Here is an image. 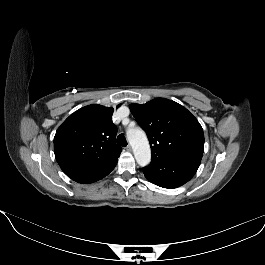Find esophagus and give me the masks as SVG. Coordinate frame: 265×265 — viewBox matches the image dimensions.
Segmentation results:
<instances>
[{
	"mask_svg": "<svg viewBox=\"0 0 265 265\" xmlns=\"http://www.w3.org/2000/svg\"><path fill=\"white\" fill-rule=\"evenodd\" d=\"M126 150L129 151V152H131V151H132V147H131L130 145H128V146L126 147Z\"/></svg>",
	"mask_w": 265,
	"mask_h": 265,
	"instance_id": "obj_1",
	"label": "esophagus"
}]
</instances>
